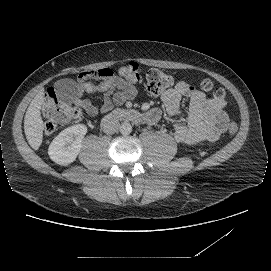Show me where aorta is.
I'll use <instances>...</instances> for the list:
<instances>
[{"mask_svg":"<svg viewBox=\"0 0 271 271\" xmlns=\"http://www.w3.org/2000/svg\"><path fill=\"white\" fill-rule=\"evenodd\" d=\"M119 131L123 135H129L132 132V125L128 122H123L119 128Z\"/></svg>","mask_w":271,"mask_h":271,"instance_id":"obj_1","label":"aorta"}]
</instances>
